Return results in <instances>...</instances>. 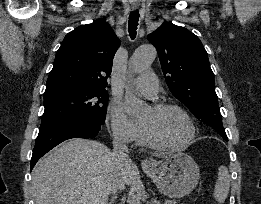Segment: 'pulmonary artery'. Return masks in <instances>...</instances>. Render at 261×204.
Instances as JSON below:
<instances>
[{
    "label": "pulmonary artery",
    "instance_id": "1",
    "mask_svg": "<svg viewBox=\"0 0 261 204\" xmlns=\"http://www.w3.org/2000/svg\"><path fill=\"white\" fill-rule=\"evenodd\" d=\"M133 86L143 95L149 98H155L158 93V81L153 72H145L135 78L132 82Z\"/></svg>",
    "mask_w": 261,
    "mask_h": 204
}]
</instances>
